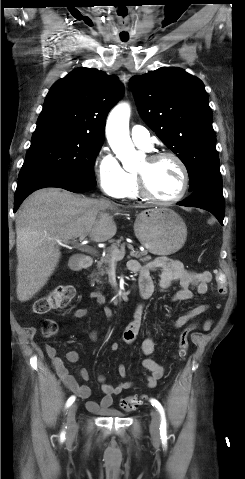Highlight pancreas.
<instances>
[{
  "label": "pancreas",
  "instance_id": "pancreas-1",
  "mask_svg": "<svg viewBox=\"0 0 245 479\" xmlns=\"http://www.w3.org/2000/svg\"><path fill=\"white\" fill-rule=\"evenodd\" d=\"M122 241H123V238L121 237L116 242H114L110 247L106 249V255L100 258V260L97 262V270L93 271L91 274L92 281L100 282L99 277L104 276L105 274L108 273L110 263L112 261V249L115 247H121L122 245H124V243L121 244ZM131 256L139 259L142 262H145L151 259V256L147 255V251H144V252L137 251V252L131 253Z\"/></svg>",
  "mask_w": 245,
  "mask_h": 479
}]
</instances>
